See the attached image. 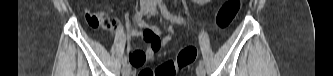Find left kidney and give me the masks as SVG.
Instances as JSON below:
<instances>
[{
    "label": "left kidney",
    "mask_w": 333,
    "mask_h": 76,
    "mask_svg": "<svg viewBox=\"0 0 333 76\" xmlns=\"http://www.w3.org/2000/svg\"><path fill=\"white\" fill-rule=\"evenodd\" d=\"M197 2H200V3H205L207 2V0H196Z\"/></svg>",
    "instance_id": "left-kidney-1"
}]
</instances>
